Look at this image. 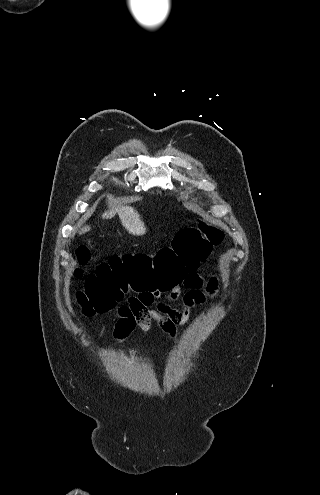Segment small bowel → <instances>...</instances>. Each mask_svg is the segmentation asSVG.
<instances>
[{
  "mask_svg": "<svg viewBox=\"0 0 320 495\" xmlns=\"http://www.w3.org/2000/svg\"><path fill=\"white\" fill-rule=\"evenodd\" d=\"M213 284L214 282H211L208 290L213 289ZM181 286L188 288L184 294L181 292ZM204 286V279L193 271L186 273L180 283L166 290V300L161 298L162 292L157 291H145L129 298L128 304L118 309L114 336L118 339L125 338L136 327L146 334L153 320L164 332L175 336L177 328L188 321L192 308L205 303L207 294L203 290ZM179 299L182 306L178 309L171 303Z\"/></svg>",
  "mask_w": 320,
  "mask_h": 495,
  "instance_id": "c3829d8e",
  "label": "small bowel"
}]
</instances>
